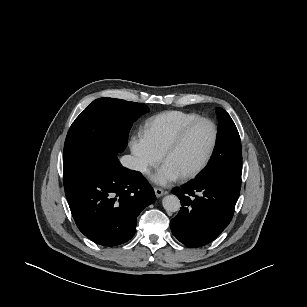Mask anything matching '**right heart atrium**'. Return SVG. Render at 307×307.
Returning <instances> with one entry per match:
<instances>
[{"instance_id":"d8ad5b80","label":"right heart atrium","mask_w":307,"mask_h":307,"mask_svg":"<svg viewBox=\"0 0 307 307\" xmlns=\"http://www.w3.org/2000/svg\"><path fill=\"white\" fill-rule=\"evenodd\" d=\"M135 169L141 174L149 173L162 160V154L156 151L144 135H135L130 141Z\"/></svg>"}]
</instances>
